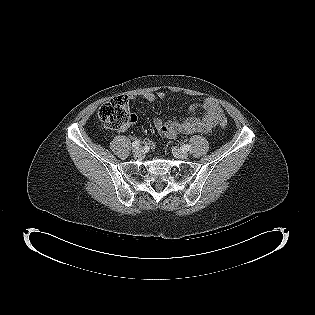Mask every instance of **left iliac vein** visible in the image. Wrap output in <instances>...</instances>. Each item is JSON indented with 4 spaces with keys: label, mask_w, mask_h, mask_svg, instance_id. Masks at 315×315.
Segmentation results:
<instances>
[{
    "label": "left iliac vein",
    "mask_w": 315,
    "mask_h": 315,
    "mask_svg": "<svg viewBox=\"0 0 315 315\" xmlns=\"http://www.w3.org/2000/svg\"><path fill=\"white\" fill-rule=\"evenodd\" d=\"M172 153L178 159H186L188 157V154L185 151H183L180 148H178V147H173L172 148Z\"/></svg>",
    "instance_id": "4c4485c4"
}]
</instances>
